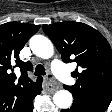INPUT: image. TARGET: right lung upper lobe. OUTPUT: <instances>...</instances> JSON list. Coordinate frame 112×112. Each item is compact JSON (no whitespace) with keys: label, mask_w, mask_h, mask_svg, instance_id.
<instances>
[{"label":"right lung upper lobe","mask_w":112,"mask_h":112,"mask_svg":"<svg viewBox=\"0 0 112 112\" xmlns=\"http://www.w3.org/2000/svg\"><path fill=\"white\" fill-rule=\"evenodd\" d=\"M39 28L18 22L0 25V112H23L42 87V77L36 81L28 77L31 63L19 59L20 50ZM15 67L20 69V76L14 73Z\"/></svg>","instance_id":"cb5924a9"}]
</instances>
